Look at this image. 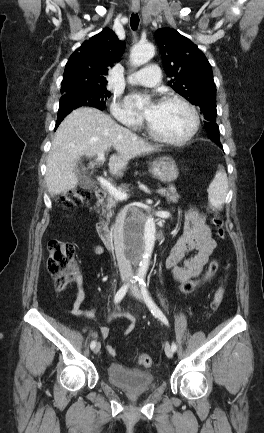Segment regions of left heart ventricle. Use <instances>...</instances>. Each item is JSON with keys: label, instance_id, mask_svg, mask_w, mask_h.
<instances>
[{"label": "left heart ventricle", "instance_id": "left-heart-ventricle-1", "mask_svg": "<svg viewBox=\"0 0 264 433\" xmlns=\"http://www.w3.org/2000/svg\"><path fill=\"white\" fill-rule=\"evenodd\" d=\"M148 122L160 135L180 138L190 130L192 116L188 109L178 103H160Z\"/></svg>", "mask_w": 264, "mask_h": 433}]
</instances>
